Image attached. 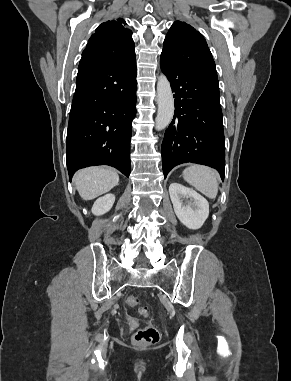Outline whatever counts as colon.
<instances>
[{
  "mask_svg": "<svg viewBox=\"0 0 291 381\" xmlns=\"http://www.w3.org/2000/svg\"><path fill=\"white\" fill-rule=\"evenodd\" d=\"M126 303L130 307H135L139 303V299L136 296H128ZM140 313L144 316L147 315V310L142 308ZM159 340V331L153 325H148L140 330H138L134 336L133 341L135 344L140 346L153 345Z\"/></svg>",
  "mask_w": 291,
  "mask_h": 381,
  "instance_id": "obj_1",
  "label": "colon"
}]
</instances>
